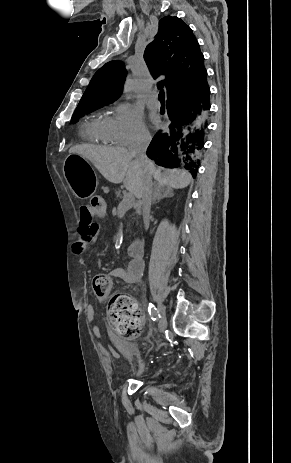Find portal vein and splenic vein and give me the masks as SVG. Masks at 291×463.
Wrapping results in <instances>:
<instances>
[{"label": "portal vein and splenic vein", "mask_w": 291, "mask_h": 463, "mask_svg": "<svg viewBox=\"0 0 291 463\" xmlns=\"http://www.w3.org/2000/svg\"><path fill=\"white\" fill-rule=\"evenodd\" d=\"M134 204V196L131 192L125 193L122 201L119 204L120 208L125 210L130 209Z\"/></svg>", "instance_id": "18ae733b"}]
</instances>
